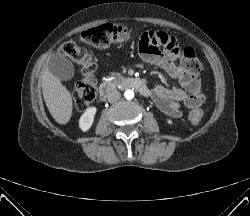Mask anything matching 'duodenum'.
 Instances as JSON below:
<instances>
[{"label": "duodenum", "mask_w": 250, "mask_h": 216, "mask_svg": "<svg viewBox=\"0 0 250 216\" xmlns=\"http://www.w3.org/2000/svg\"><path fill=\"white\" fill-rule=\"evenodd\" d=\"M116 86L128 89H135L140 94L148 96L150 90L147 87L146 83L139 78H124L119 80L116 83L113 82H104L99 87V96L101 100H106L109 94L115 89Z\"/></svg>", "instance_id": "duodenum-1"}]
</instances>
